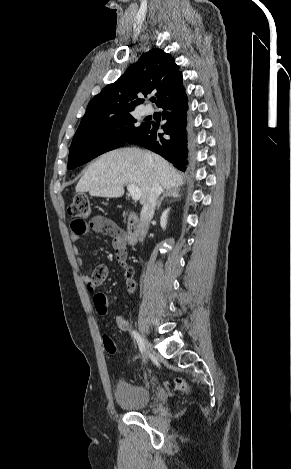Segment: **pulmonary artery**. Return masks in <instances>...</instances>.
<instances>
[{"instance_id":"pulmonary-artery-1","label":"pulmonary artery","mask_w":291,"mask_h":469,"mask_svg":"<svg viewBox=\"0 0 291 469\" xmlns=\"http://www.w3.org/2000/svg\"><path fill=\"white\" fill-rule=\"evenodd\" d=\"M152 112H153V110H152L151 107H149V106L145 107L144 113H145L146 115H150V114H152Z\"/></svg>"}]
</instances>
